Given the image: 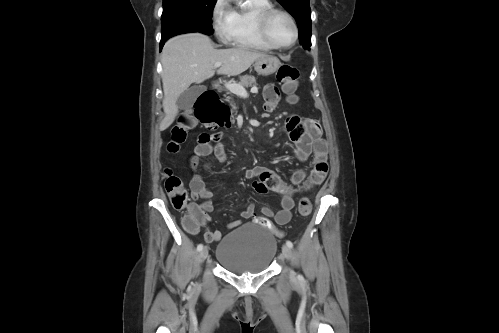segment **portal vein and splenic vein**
<instances>
[{
    "mask_svg": "<svg viewBox=\"0 0 499 333\" xmlns=\"http://www.w3.org/2000/svg\"><path fill=\"white\" fill-rule=\"evenodd\" d=\"M222 65L221 62H217L215 63V67L218 68ZM225 87L231 91L232 93L238 95L239 97H242V98H247L248 97V93L246 91V89L240 85V84H236V83H226L225 84ZM251 92H257V88H254L251 90Z\"/></svg>",
    "mask_w": 499,
    "mask_h": 333,
    "instance_id": "portal-vein-and-splenic-vein-1",
    "label": "portal vein and splenic vein"
}]
</instances>
